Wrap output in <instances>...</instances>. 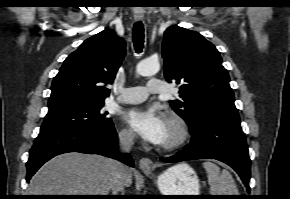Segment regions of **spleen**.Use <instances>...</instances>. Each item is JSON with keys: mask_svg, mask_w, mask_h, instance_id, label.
Returning a JSON list of instances; mask_svg holds the SVG:
<instances>
[{"mask_svg": "<svg viewBox=\"0 0 290 199\" xmlns=\"http://www.w3.org/2000/svg\"><path fill=\"white\" fill-rule=\"evenodd\" d=\"M203 167L207 172L210 185V195H238V190L231 174L210 161H205Z\"/></svg>", "mask_w": 290, "mask_h": 199, "instance_id": "3e777b00", "label": "spleen"}]
</instances>
